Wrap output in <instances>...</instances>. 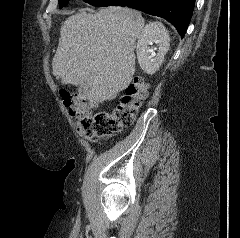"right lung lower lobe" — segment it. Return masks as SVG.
I'll use <instances>...</instances> for the list:
<instances>
[{
	"label": "right lung lower lobe",
	"instance_id": "98d812e1",
	"mask_svg": "<svg viewBox=\"0 0 240 238\" xmlns=\"http://www.w3.org/2000/svg\"><path fill=\"white\" fill-rule=\"evenodd\" d=\"M195 0H98L96 7L128 6L142 12L165 18L183 38L191 20Z\"/></svg>",
	"mask_w": 240,
	"mask_h": 238
}]
</instances>
